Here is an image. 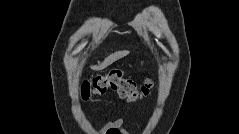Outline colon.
Listing matches in <instances>:
<instances>
[{"instance_id": "obj_1", "label": "colon", "mask_w": 239, "mask_h": 134, "mask_svg": "<svg viewBox=\"0 0 239 134\" xmlns=\"http://www.w3.org/2000/svg\"><path fill=\"white\" fill-rule=\"evenodd\" d=\"M153 88L152 81L144 82L139 88L134 80L125 77L121 70H111L107 74L94 76L83 81L81 97L88 100L94 95H103L108 91L116 92L121 98L135 102L147 96Z\"/></svg>"}]
</instances>
